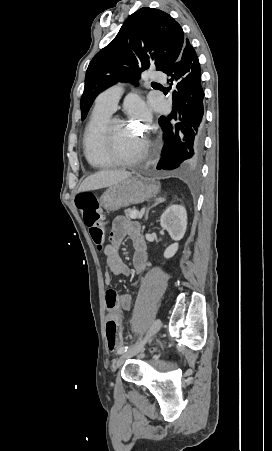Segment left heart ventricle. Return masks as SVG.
<instances>
[{
    "label": "left heart ventricle",
    "instance_id": "b2bd125f",
    "mask_svg": "<svg viewBox=\"0 0 272 451\" xmlns=\"http://www.w3.org/2000/svg\"><path fill=\"white\" fill-rule=\"evenodd\" d=\"M113 136L117 150L123 155L127 154L138 140L137 134L126 121L114 122Z\"/></svg>",
    "mask_w": 272,
    "mask_h": 451
}]
</instances>
